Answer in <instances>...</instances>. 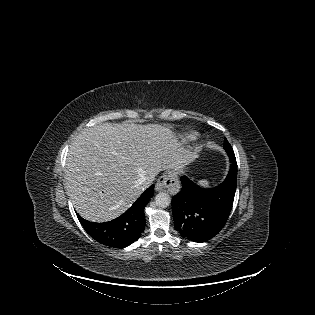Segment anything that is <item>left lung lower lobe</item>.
I'll return each instance as SVG.
<instances>
[{
  "label": "left lung lower lobe",
  "instance_id": "0a47b994",
  "mask_svg": "<svg viewBox=\"0 0 315 315\" xmlns=\"http://www.w3.org/2000/svg\"><path fill=\"white\" fill-rule=\"evenodd\" d=\"M230 171L220 185L203 189L182 176L181 191L172 198L175 228L194 241L206 242L224 227L236 191L237 163L233 159Z\"/></svg>",
  "mask_w": 315,
  "mask_h": 315
}]
</instances>
